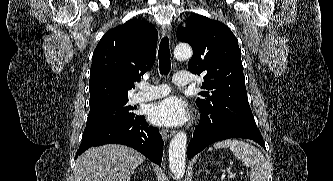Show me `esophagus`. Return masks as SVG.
<instances>
[{"label":"esophagus","mask_w":333,"mask_h":181,"mask_svg":"<svg viewBox=\"0 0 333 181\" xmlns=\"http://www.w3.org/2000/svg\"><path fill=\"white\" fill-rule=\"evenodd\" d=\"M171 31L172 28L170 25H163L162 26V33L165 36H170L171 35ZM175 134L174 130H170V129H162L161 130V135L164 139H169L170 137H172Z\"/></svg>","instance_id":"obj_1"}]
</instances>
